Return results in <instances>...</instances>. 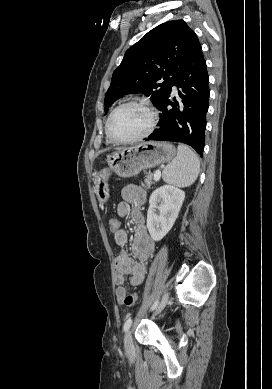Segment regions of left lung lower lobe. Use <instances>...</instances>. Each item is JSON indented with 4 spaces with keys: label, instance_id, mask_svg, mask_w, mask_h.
Listing matches in <instances>:
<instances>
[{
    "label": "left lung lower lobe",
    "instance_id": "0a47b994",
    "mask_svg": "<svg viewBox=\"0 0 272 389\" xmlns=\"http://www.w3.org/2000/svg\"><path fill=\"white\" fill-rule=\"evenodd\" d=\"M208 82L206 62L202 48H199L171 83L168 94L158 107L162 111L158 123L160 128L150 134L146 140L185 143L202 155L210 94ZM173 85L181 88L178 95L182 99V107L175 98L174 102L169 100Z\"/></svg>",
    "mask_w": 272,
    "mask_h": 389
}]
</instances>
